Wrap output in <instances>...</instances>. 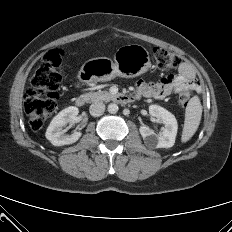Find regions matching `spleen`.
Returning <instances> with one entry per match:
<instances>
[{"label": "spleen", "mask_w": 232, "mask_h": 232, "mask_svg": "<svg viewBox=\"0 0 232 232\" xmlns=\"http://www.w3.org/2000/svg\"><path fill=\"white\" fill-rule=\"evenodd\" d=\"M202 106L197 96L192 97L185 110V121L182 132V142H187L195 134L200 124Z\"/></svg>", "instance_id": "3e777b00"}]
</instances>
